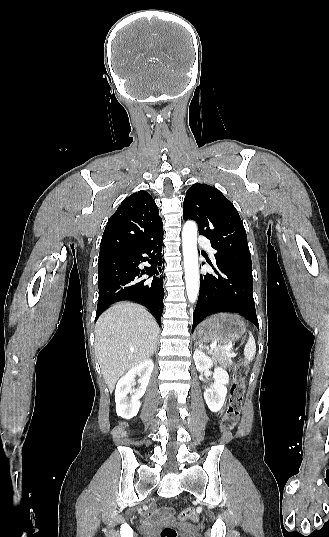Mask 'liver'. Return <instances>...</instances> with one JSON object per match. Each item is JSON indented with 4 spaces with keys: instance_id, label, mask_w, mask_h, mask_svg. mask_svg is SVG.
Here are the masks:
<instances>
[{
    "instance_id": "liver-1",
    "label": "liver",
    "mask_w": 329,
    "mask_h": 537,
    "mask_svg": "<svg viewBox=\"0 0 329 537\" xmlns=\"http://www.w3.org/2000/svg\"><path fill=\"white\" fill-rule=\"evenodd\" d=\"M158 333L154 317L135 303H117L99 317L95 353L110 392L126 371L151 357Z\"/></svg>"
}]
</instances>
